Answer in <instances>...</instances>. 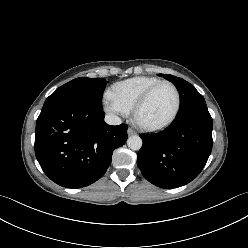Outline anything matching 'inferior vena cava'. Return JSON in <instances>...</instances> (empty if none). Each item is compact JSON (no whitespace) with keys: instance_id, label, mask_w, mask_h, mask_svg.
<instances>
[{"instance_id":"obj_1","label":"inferior vena cava","mask_w":248,"mask_h":248,"mask_svg":"<svg viewBox=\"0 0 248 248\" xmlns=\"http://www.w3.org/2000/svg\"><path fill=\"white\" fill-rule=\"evenodd\" d=\"M105 122L109 125H119L121 124V119L114 114L105 115Z\"/></svg>"}]
</instances>
